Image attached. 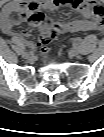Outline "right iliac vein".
<instances>
[{
    "mask_svg": "<svg viewBox=\"0 0 104 137\" xmlns=\"http://www.w3.org/2000/svg\"><path fill=\"white\" fill-rule=\"evenodd\" d=\"M23 57L27 60H30V61H32L34 59V55L31 52H24Z\"/></svg>",
    "mask_w": 104,
    "mask_h": 137,
    "instance_id": "obj_1",
    "label": "right iliac vein"
}]
</instances>
